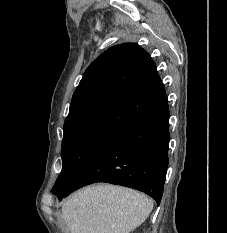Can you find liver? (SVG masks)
Returning a JSON list of instances; mask_svg holds the SVG:
<instances>
[{"instance_id":"1","label":"liver","mask_w":227,"mask_h":233,"mask_svg":"<svg viewBox=\"0 0 227 233\" xmlns=\"http://www.w3.org/2000/svg\"><path fill=\"white\" fill-rule=\"evenodd\" d=\"M152 201L144 194L120 186H88L62 205L70 233H130L149 216Z\"/></svg>"}]
</instances>
